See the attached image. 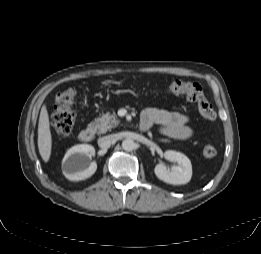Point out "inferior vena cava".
I'll return each instance as SVG.
<instances>
[{"label": "inferior vena cava", "instance_id": "602c4592", "mask_svg": "<svg viewBox=\"0 0 261 254\" xmlns=\"http://www.w3.org/2000/svg\"><path fill=\"white\" fill-rule=\"evenodd\" d=\"M115 141V135H107L98 139L99 147L107 149Z\"/></svg>", "mask_w": 261, "mask_h": 254}]
</instances>
